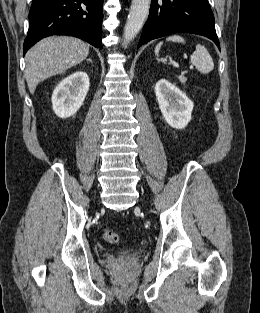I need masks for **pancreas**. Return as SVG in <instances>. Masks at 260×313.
Returning <instances> with one entry per match:
<instances>
[{
  "label": "pancreas",
  "instance_id": "obj_1",
  "mask_svg": "<svg viewBox=\"0 0 260 313\" xmlns=\"http://www.w3.org/2000/svg\"><path fill=\"white\" fill-rule=\"evenodd\" d=\"M186 77H184V76H182V77H180V81L183 83V84H185L186 83Z\"/></svg>",
  "mask_w": 260,
  "mask_h": 313
}]
</instances>
